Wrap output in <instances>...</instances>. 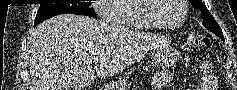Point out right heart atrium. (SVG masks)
<instances>
[{
    "label": "right heart atrium",
    "mask_w": 237,
    "mask_h": 90,
    "mask_svg": "<svg viewBox=\"0 0 237 90\" xmlns=\"http://www.w3.org/2000/svg\"><path fill=\"white\" fill-rule=\"evenodd\" d=\"M112 3H120V0H98V2H94L95 6H92V9L98 12L101 20H109V15L106 13L107 8H103V6H111Z\"/></svg>",
    "instance_id": "obj_1"
}]
</instances>
